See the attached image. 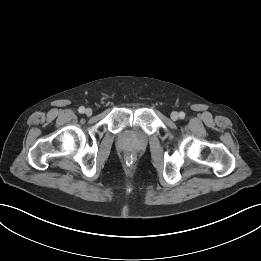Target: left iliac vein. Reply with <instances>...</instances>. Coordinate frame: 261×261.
<instances>
[{
  "label": "left iliac vein",
  "mask_w": 261,
  "mask_h": 261,
  "mask_svg": "<svg viewBox=\"0 0 261 261\" xmlns=\"http://www.w3.org/2000/svg\"><path fill=\"white\" fill-rule=\"evenodd\" d=\"M170 116L173 121H176L179 118V114L175 111L172 112Z\"/></svg>",
  "instance_id": "obj_1"
}]
</instances>
